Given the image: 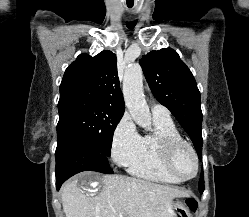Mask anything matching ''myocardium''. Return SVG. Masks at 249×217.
<instances>
[{
	"label": "myocardium",
	"instance_id": "obj_1",
	"mask_svg": "<svg viewBox=\"0 0 249 217\" xmlns=\"http://www.w3.org/2000/svg\"><path fill=\"white\" fill-rule=\"evenodd\" d=\"M181 150H187L194 160V171L189 176H183L176 168L175 160ZM162 151L164 164L168 172L179 179L180 181H187L194 178L199 171V158L194 147L182 138H167L162 140Z\"/></svg>",
	"mask_w": 249,
	"mask_h": 217
}]
</instances>
